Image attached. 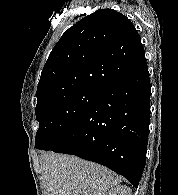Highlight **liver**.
<instances>
[{"mask_svg": "<svg viewBox=\"0 0 178 195\" xmlns=\"http://www.w3.org/2000/svg\"><path fill=\"white\" fill-rule=\"evenodd\" d=\"M45 195H104L121 178L99 164L76 156L44 153L40 157Z\"/></svg>", "mask_w": 178, "mask_h": 195, "instance_id": "obj_1", "label": "liver"}]
</instances>
